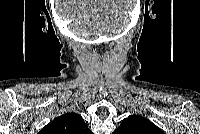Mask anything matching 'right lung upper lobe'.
<instances>
[{
	"instance_id": "cb5924a9",
	"label": "right lung upper lobe",
	"mask_w": 200,
	"mask_h": 134,
	"mask_svg": "<svg viewBox=\"0 0 200 134\" xmlns=\"http://www.w3.org/2000/svg\"><path fill=\"white\" fill-rule=\"evenodd\" d=\"M42 134H89L90 131L81 116L68 113L57 117L42 130Z\"/></svg>"
}]
</instances>
